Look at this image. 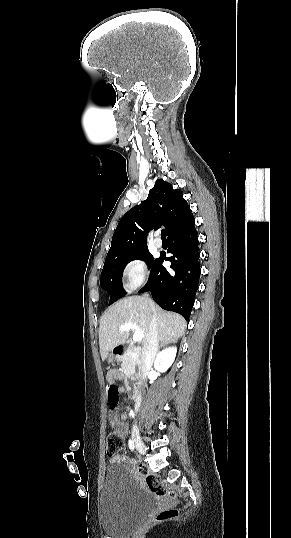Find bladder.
<instances>
[{
	"label": "bladder",
	"mask_w": 291,
	"mask_h": 538,
	"mask_svg": "<svg viewBox=\"0 0 291 538\" xmlns=\"http://www.w3.org/2000/svg\"><path fill=\"white\" fill-rule=\"evenodd\" d=\"M154 508L126 466L106 467L100 496V525L106 534L115 538L130 534Z\"/></svg>",
	"instance_id": "1"
}]
</instances>
